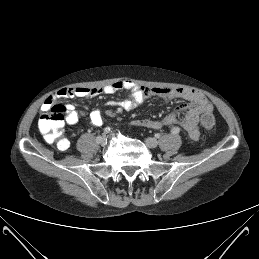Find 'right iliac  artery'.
I'll return each mask as SVG.
<instances>
[{
    "instance_id": "1",
    "label": "right iliac artery",
    "mask_w": 259,
    "mask_h": 259,
    "mask_svg": "<svg viewBox=\"0 0 259 259\" xmlns=\"http://www.w3.org/2000/svg\"><path fill=\"white\" fill-rule=\"evenodd\" d=\"M95 140H96V141H99V140H100V136H99V135H96V136H95Z\"/></svg>"
}]
</instances>
